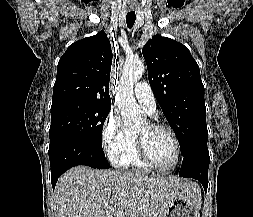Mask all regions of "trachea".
Listing matches in <instances>:
<instances>
[{"instance_id":"3493384b","label":"trachea","mask_w":253,"mask_h":217,"mask_svg":"<svg viewBox=\"0 0 253 217\" xmlns=\"http://www.w3.org/2000/svg\"><path fill=\"white\" fill-rule=\"evenodd\" d=\"M135 19H136V14L135 11H130L127 13L126 16V23H127V27L129 29H131L135 23Z\"/></svg>"}]
</instances>
